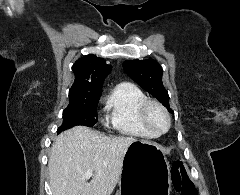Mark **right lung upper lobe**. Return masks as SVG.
I'll return each instance as SVG.
<instances>
[{"mask_svg": "<svg viewBox=\"0 0 240 195\" xmlns=\"http://www.w3.org/2000/svg\"><path fill=\"white\" fill-rule=\"evenodd\" d=\"M72 70L75 80L69 91V99L100 97L103 81L111 66L104 59L90 54L78 59Z\"/></svg>", "mask_w": 240, "mask_h": 195, "instance_id": "right-lung-upper-lobe-1", "label": "right lung upper lobe"}]
</instances>
